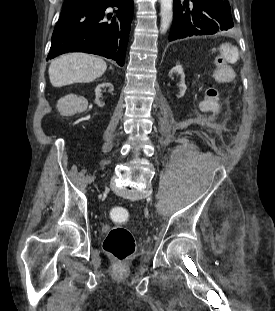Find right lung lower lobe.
Returning <instances> with one entry per match:
<instances>
[{"instance_id":"obj_1","label":"right lung lower lobe","mask_w":275,"mask_h":311,"mask_svg":"<svg viewBox=\"0 0 275 311\" xmlns=\"http://www.w3.org/2000/svg\"><path fill=\"white\" fill-rule=\"evenodd\" d=\"M109 7L116 10L109 13ZM133 8V0H82L64 6L47 60L66 52H87L123 66Z\"/></svg>"}]
</instances>
